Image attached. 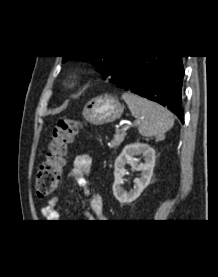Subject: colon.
Returning <instances> with one entry per match:
<instances>
[{"label": "colon", "mask_w": 218, "mask_h": 277, "mask_svg": "<svg viewBox=\"0 0 218 277\" xmlns=\"http://www.w3.org/2000/svg\"><path fill=\"white\" fill-rule=\"evenodd\" d=\"M82 128V123L75 119H62L55 126L48 147L46 161L36 173L35 188L39 197H46L57 187L65 163L68 146Z\"/></svg>", "instance_id": "obj_1"}]
</instances>
